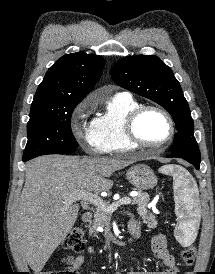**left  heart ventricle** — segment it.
Instances as JSON below:
<instances>
[{
  "instance_id": "left-heart-ventricle-1",
  "label": "left heart ventricle",
  "mask_w": 215,
  "mask_h": 274,
  "mask_svg": "<svg viewBox=\"0 0 215 274\" xmlns=\"http://www.w3.org/2000/svg\"><path fill=\"white\" fill-rule=\"evenodd\" d=\"M137 133L148 143H159L169 134V124L166 118L156 111L145 112L137 122Z\"/></svg>"
}]
</instances>
